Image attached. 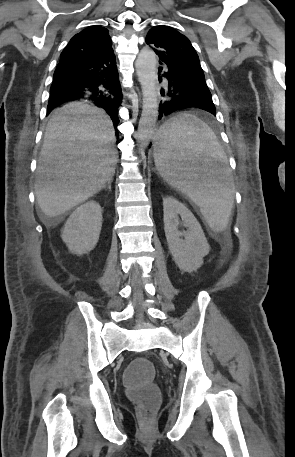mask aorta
Here are the masks:
<instances>
[{
    "instance_id": "762f6f07",
    "label": "aorta",
    "mask_w": 295,
    "mask_h": 457,
    "mask_svg": "<svg viewBox=\"0 0 295 457\" xmlns=\"http://www.w3.org/2000/svg\"><path fill=\"white\" fill-rule=\"evenodd\" d=\"M135 68L143 93L142 114L137 138L141 148H144L155 134L159 114L155 53L148 48H143L136 59Z\"/></svg>"
}]
</instances>
